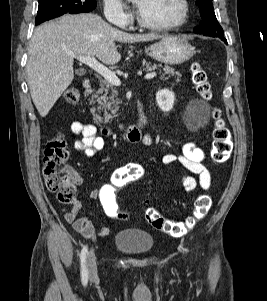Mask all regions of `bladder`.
<instances>
[{"label": "bladder", "mask_w": 267, "mask_h": 301, "mask_svg": "<svg viewBox=\"0 0 267 301\" xmlns=\"http://www.w3.org/2000/svg\"><path fill=\"white\" fill-rule=\"evenodd\" d=\"M117 249L131 255L150 253L154 248V239L151 234L141 229H122L114 238Z\"/></svg>", "instance_id": "bladder-1"}]
</instances>
